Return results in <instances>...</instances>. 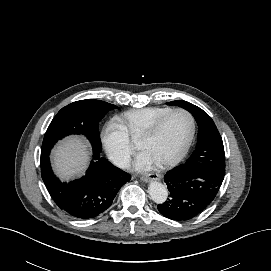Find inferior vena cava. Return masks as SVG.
I'll use <instances>...</instances> for the list:
<instances>
[{
	"label": "inferior vena cava",
	"mask_w": 271,
	"mask_h": 271,
	"mask_svg": "<svg viewBox=\"0 0 271 271\" xmlns=\"http://www.w3.org/2000/svg\"><path fill=\"white\" fill-rule=\"evenodd\" d=\"M112 162L120 168H129L130 167V156L126 154L114 155L112 157Z\"/></svg>",
	"instance_id": "inferior-vena-cava-1"
}]
</instances>
